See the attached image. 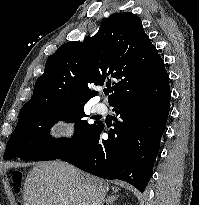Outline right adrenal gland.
<instances>
[{
  "instance_id": "2a0ac1e0",
  "label": "right adrenal gland",
  "mask_w": 199,
  "mask_h": 205,
  "mask_svg": "<svg viewBox=\"0 0 199 205\" xmlns=\"http://www.w3.org/2000/svg\"><path fill=\"white\" fill-rule=\"evenodd\" d=\"M113 190H114V188H113ZM114 200H115V197H114V196H108V197L106 198V205H112V203L114 202Z\"/></svg>"
}]
</instances>
